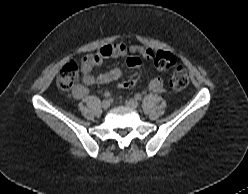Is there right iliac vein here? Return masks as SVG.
<instances>
[{
    "label": "right iliac vein",
    "instance_id": "right-iliac-vein-1",
    "mask_svg": "<svg viewBox=\"0 0 248 194\" xmlns=\"http://www.w3.org/2000/svg\"><path fill=\"white\" fill-rule=\"evenodd\" d=\"M101 105L104 110H107L110 107V102L108 100H103Z\"/></svg>",
    "mask_w": 248,
    "mask_h": 194
}]
</instances>
